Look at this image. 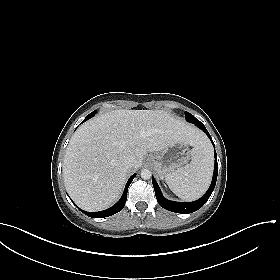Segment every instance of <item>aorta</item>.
Returning a JSON list of instances; mask_svg holds the SVG:
<instances>
[{"label": "aorta", "mask_w": 280, "mask_h": 280, "mask_svg": "<svg viewBox=\"0 0 280 280\" xmlns=\"http://www.w3.org/2000/svg\"><path fill=\"white\" fill-rule=\"evenodd\" d=\"M152 176V173L149 169H143L141 171V178L144 180L150 179Z\"/></svg>", "instance_id": "aorta-1"}]
</instances>
